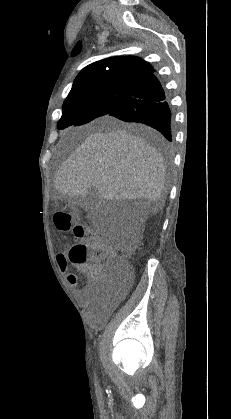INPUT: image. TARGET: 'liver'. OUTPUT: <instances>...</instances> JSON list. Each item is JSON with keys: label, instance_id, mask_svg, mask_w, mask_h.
<instances>
[{"label": "liver", "instance_id": "obj_1", "mask_svg": "<svg viewBox=\"0 0 231 419\" xmlns=\"http://www.w3.org/2000/svg\"><path fill=\"white\" fill-rule=\"evenodd\" d=\"M108 133L93 132L62 164L55 188L63 195L83 196L94 187L105 200L145 199L156 206L165 188V166L157 150L128 133L113 118ZM129 231L134 248L136 235Z\"/></svg>", "mask_w": 231, "mask_h": 419}]
</instances>
